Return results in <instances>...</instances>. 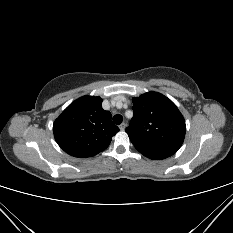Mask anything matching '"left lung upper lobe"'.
Returning a JSON list of instances; mask_svg holds the SVG:
<instances>
[{
    "label": "left lung upper lobe",
    "mask_w": 233,
    "mask_h": 233,
    "mask_svg": "<svg viewBox=\"0 0 233 233\" xmlns=\"http://www.w3.org/2000/svg\"><path fill=\"white\" fill-rule=\"evenodd\" d=\"M134 116L126 132L134 147L144 156L160 160L181 147L185 120L176 105L164 95L148 92L133 98Z\"/></svg>",
    "instance_id": "obj_1"
}]
</instances>
